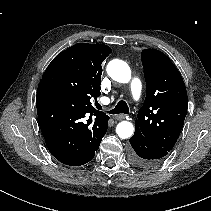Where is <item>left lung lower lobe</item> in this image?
Here are the masks:
<instances>
[{
	"instance_id": "obj_1",
	"label": "left lung lower lobe",
	"mask_w": 211,
	"mask_h": 211,
	"mask_svg": "<svg viewBox=\"0 0 211 211\" xmlns=\"http://www.w3.org/2000/svg\"><path fill=\"white\" fill-rule=\"evenodd\" d=\"M129 159L140 168H152L159 165L169 153L164 147L135 132L130 138Z\"/></svg>"
}]
</instances>
